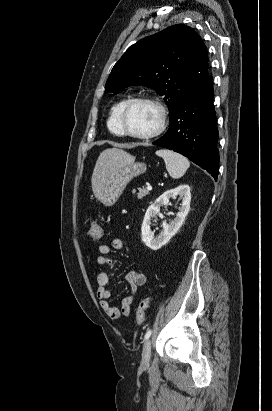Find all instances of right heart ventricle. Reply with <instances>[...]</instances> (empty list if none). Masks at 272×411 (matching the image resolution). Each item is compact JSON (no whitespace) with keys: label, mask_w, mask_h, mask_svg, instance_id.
Masks as SVG:
<instances>
[{"label":"right heart ventricle","mask_w":272,"mask_h":411,"mask_svg":"<svg viewBox=\"0 0 272 411\" xmlns=\"http://www.w3.org/2000/svg\"><path fill=\"white\" fill-rule=\"evenodd\" d=\"M127 100L128 98L125 97V98L118 100L116 103H114L110 109V112L107 118V128L112 134L116 136H122L118 117H119V112L121 108L123 107V105L125 104Z\"/></svg>","instance_id":"1"}]
</instances>
